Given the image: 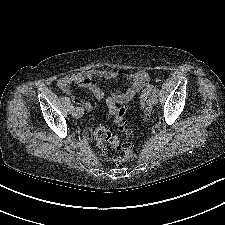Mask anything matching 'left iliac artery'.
<instances>
[{
  "label": "left iliac artery",
  "mask_w": 225,
  "mask_h": 225,
  "mask_svg": "<svg viewBox=\"0 0 225 225\" xmlns=\"http://www.w3.org/2000/svg\"><path fill=\"white\" fill-rule=\"evenodd\" d=\"M153 92H154L155 94H158L159 88L155 87L154 90H153Z\"/></svg>",
  "instance_id": "1"
}]
</instances>
